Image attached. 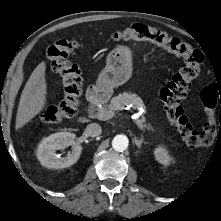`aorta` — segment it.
<instances>
[{"label": "aorta", "mask_w": 221, "mask_h": 221, "mask_svg": "<svg viewBox=\"0 0 221 221\" xmlns=\"http://www.w3.org/2000/svg\"><path fill=\"white\" fill-rule=\"evenodd\" d=\"M129 140L125 135H116L112 140V147L115 151L122 152L127 149Z\"/></svg>", "instance_id": "aorta-1"}]
</instances>
